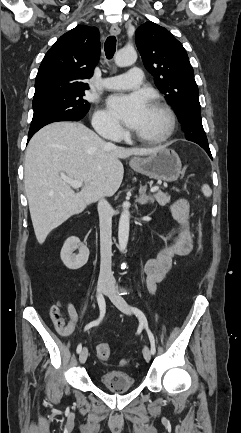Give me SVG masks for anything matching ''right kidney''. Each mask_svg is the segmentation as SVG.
I'll return each mask as SVG.
<instances>
[{
	"instance_id": "ca27d5eb",
	"label": "right kidney",
	"mask_w": 241,
	"mask_h": 433,
	"mask_svg": "<svg viewBox=\"0 0 241 433\" xmlns=\"http://www.w3.org/2000/svg\"><path fill=\"white\" fill-rule=\"evenodd\" d=\"M76 249H78V254L73 253ZM60 257L68 269L77 270L87 263L89 249L80 242L79 238L72 236L65 241Z\"/></svg>"
}]
</instances>
